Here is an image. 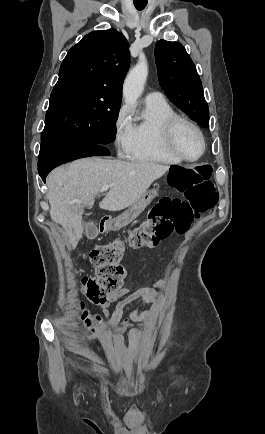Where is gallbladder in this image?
<instances>
[{"label": "gallbladder", "instance_id": "1", "mask_svg": "<svg viewBox=\"0 0 265 434\" xmlns=\"http://www.w3.org/2000/svg\"><path fill=\"white\" fill-rule=\"evenodd\" d=\"M86 237L89 238H96L98 236V230L96 224L92 223V221H89V224L86 226Z\"/></svg>", "mask_w": 265, "mask_h": 434}]
</instances>
